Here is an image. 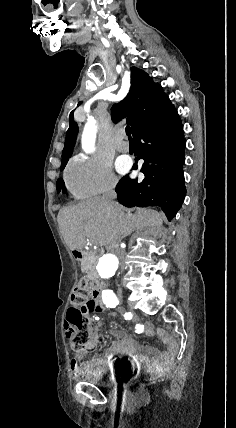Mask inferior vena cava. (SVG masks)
Wrapping results in <instances>:
<instances>
[{
  "label": "inferior vena cava",
  "mask_w": 236,
  "mask_h": 428,
  "mask_svg": "<svg viewBox=\"0 0 236 428\" xmlns=\"http://www.w3.org/2000/svg\"><path fill=\"white\" fill-rule=\"evenodd\" d=\"M116 186V180H111L108 188H107V194L106 196H104L109 208H112V210H114L116 204H114V202H112V200H114V198H116V192H114V188ZM112 241L111 242V247L112 248H116V249H110L111 252H113V254H116V257H120V270L123 272L125 269V260L123 259L125 257V249L122 248H117V244L116 242L119 241V236L118 235H113L112 236ZM118 293H123L122 289L118 290Z\"/></svg>",
  "instance_id": "602c4592"
}]
</instances>
